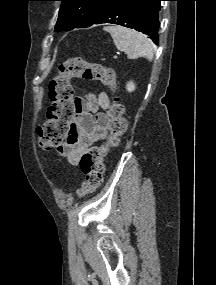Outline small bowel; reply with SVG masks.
I'll return each mask as SVG.
<instances>
[{
	"label": "small bowel",
	"mask_w": 216,
	"mask_h": 285,
	"mask_svg": "<svg viewBox=\"0 0 216 285\" xmlns=\"http://www.w3.org/2000/svg\"><path fill=\"white\" fill-rule=\"evenodd\" d=\"M105 92L76 99L77 111L70 131L59 146V151L73 165H79L81 156L107 137L109 118L104 110L109 107Z\"/></svg>",
	"instance_id": "small-bowel-1"
}]
</instances>
